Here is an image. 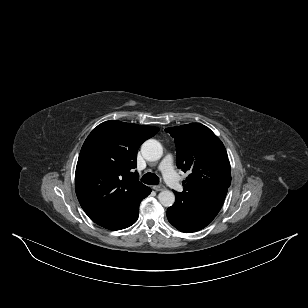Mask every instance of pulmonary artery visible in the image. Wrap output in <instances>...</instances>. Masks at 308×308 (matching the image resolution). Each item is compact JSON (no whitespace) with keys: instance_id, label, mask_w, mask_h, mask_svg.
Wrapping results in <instances>:
<instances>
[{"instance_id":"obj_1","label":"pulmonary artery","mask_w":308,"mask_h":308,"mask_svg":"<svg viewBox=\"0 0 308 308\" xmlns=\"http://www.w3.org/2000/svg\"><path fill=\"white\" fill-rule=\"evenodd\" d=\"M172 161V156L166 155L159 165V170L162 172L165 181L170 187L177 191H182V185L174 171Z\"/></svg>"}]
</instances>
